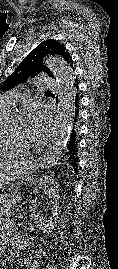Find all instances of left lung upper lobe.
Wrapping results in <instances>:
<instances>
[{
  "label": "left lung upper lobe",
  "mask_w": 118,
  "mask_h": 269,
  "mask_svg": "<svg viewBox=\"0 0 118 269\" xmlns=\"http://www.w3.org/2000/svg\"><path fill=\"white\" fill-rule=\"evenodd\" d=\"M46 55L61 56L67 63L72 64V59L63 44L53 39L46 40L29 53L0 89L10 90L16 85L26 82L29 77L34 78L41 72H46L50 77H54L52 71L43 64V58ZM75 83H77V80Z\"/></svg>",
  "instance_id": "left-lung-upper-lobe-1"
}]
</instances>
